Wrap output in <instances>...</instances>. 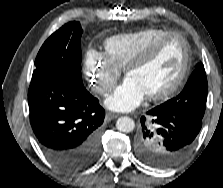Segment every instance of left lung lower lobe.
Listing matches in <instances>:
<instances>
[{
	"mask_svg": "<svg viewBox=\"0 0 223 188\" xmlns=\"http://www.w3.org/2000/svg\"><path fill=\"white\" fill-rule=\"evenodd\" d=\"M147 114L154 128L145 125V117H142V128L136 138L138 157L145 163L160 168L180 162L190 152L202 120L168 114L159 106Z\"/></svg>",
	"mask_w": 223,
	"mask_h": 188,
	"instance_id": "obj_1",
	"label": "left lung lower lobe"
}]
</instances>
